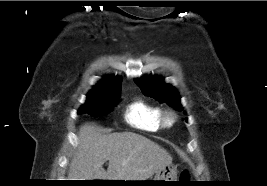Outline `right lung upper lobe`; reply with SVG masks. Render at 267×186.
I'll return each instance as SVG.
<instances>
[{"mask_svg": "<svg viewBox=\"0 0 267 186\" xmlns=\"http://www.w3.org/2000/svg\"><path fill=\"white\" fill-rule=\"evenodd\" d=\"M120 77H105L99 84H97L90 93H112V92H120L121 88Z\"/></svg>", "mask_w": 267, "mask_h": 186, "instance_id": "cb5924a9", "label": "right lung upper lobe"}]
</instances>
